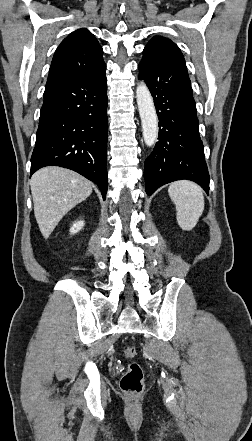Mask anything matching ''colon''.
I'll list each match as a JSON object with an SVG mask.
<instances>
[{
	"instance_id": "colon-1",
	"label": "colon",
	"mask_w": 252,
	"mask_h": 441,
	"mask_svg": "<svg viewBox=\"0 0 252 441\" xmlns=\"http://www.w3.org/2000/svg\"><path fill=\"white\" fill-rule=\"evenodd\" d=\"M124 356L128 360H132L136 356V349L133 346H127L124 349ZM120 387L122 391L130 396L136 397L143 391V370L139 363L130 361L127 370L124 373Z\"/></svg>"
}]
</instances>
